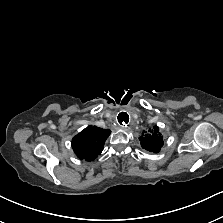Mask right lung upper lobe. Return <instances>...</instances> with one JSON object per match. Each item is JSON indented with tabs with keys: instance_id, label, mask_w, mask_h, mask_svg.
<instances>
[{
	"instance_id": "obj_1",
	"label": "right lung upper lobe",
	"mask_w": 223,
	"mask_h": 223,
	"mask_svg": "<svg viewBox=\"0 0 223 223\" xmlns=\"http://www.w3.org/2000/svg\"><path fill=\"white\" fill-rule=\"evenodd\" d=\"M110 133L109 129L88 126L72 139L71 145L74 153L79 159L94 160L101 154Z\"/></svg>"
}]
</instances>
